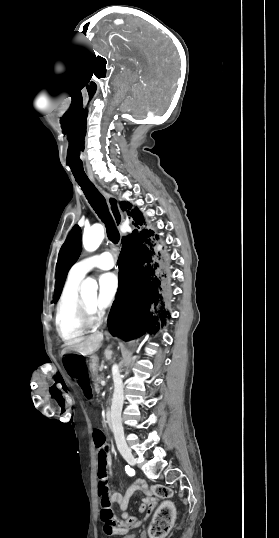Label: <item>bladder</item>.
<instances>
[{
	"instance_id": "1",
	"label": "bladder",
	"mask_w": 279,
	"mask_h": 538,
	"mask_svg": "<svg viewBox=\"0 0 279 538\" xmlns=\"http://www.w3.org/2000/svg\"><path fill=\"white\" fill-rule=\"evenodd\" d=\"M131 538H134V534H133V533H132V536H131Z\"/></svg>"
}]
</instances>
